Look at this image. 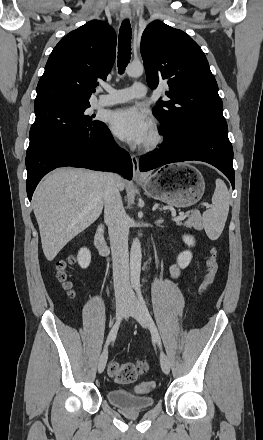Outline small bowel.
Segmentation results:
<instances>
[{
	"mask_svg": "<svg viewBox=\"0 0 263 440\" xmlns=\"http://www.w3.org/2000/svg\"><path fill=\"white\" fill-rule=\"evenodd\" d=\"M170 271L174 278H177L180 275V268L175 264L171 266Z\"/></svg>",
	"mask_w": 263,
	"mask_h": 440,
	"instance_id": "small-bowel-1",
	"label": "small bowel"
}]
</instances>
